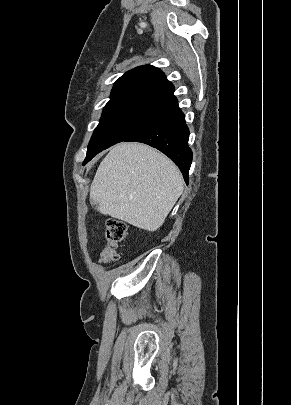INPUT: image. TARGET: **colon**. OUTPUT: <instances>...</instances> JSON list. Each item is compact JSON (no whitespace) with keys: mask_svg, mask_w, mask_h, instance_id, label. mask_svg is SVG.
Returning a JSON list of instances; mask_svg holds the SVG:
<instances>
[{"mask_svg":"<svg viewBox=\"0 0 291 405\" xmlns=\"http://www.w3.org/2000/svg\"><path fill=\"white\" fill-rule=\"evenodd\" d=\"M127 234V227L124 222L118 219H108L105 224L106 246L103 248L100 255V262L109 264L118 260L119 254L117 247Z\"/></svg>","mask_w":291,"mask_h":405,"instance_id":"5ec220e1","label":"colon"}]
</instances>
